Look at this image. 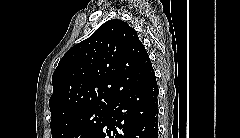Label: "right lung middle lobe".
<instances>
[{
  "label": "right lung middle lobe",
  "mask_w": 240,
  "mask_h": 138,
  "mask_svg": "<svg viewBox=\"0 0 240 138\" xmlns=\"http://www.w3.org/2000/svg\"><path fill=\"white\" fill-rule=\"evenodd\" d=\"M108 108H91L50 123L52 138H92L105 121Z\"/></svg>",
  "instance_id": "1"
}]
</instances>
